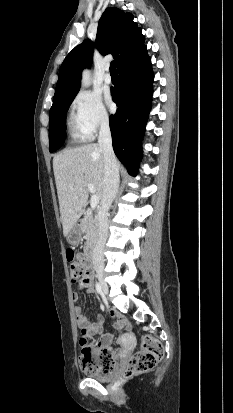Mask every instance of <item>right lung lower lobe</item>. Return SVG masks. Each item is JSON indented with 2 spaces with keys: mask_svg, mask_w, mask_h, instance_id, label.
Returning a JSON list of instances; mask_svg holds the SVG:
<instances>
[{
  "mask_svg": "<svg viewBox=\"0 0 233 413\" xmlns=\"http://www.w3.org/2000/svg\"><path fill=\"white\" fill-rule=\"evenodd\" d=\"M119 83L111 90L118 109L110 116L113 149L129 173L136 174L142 157L141 140L151 109L153 72L143 44L117 67Z\"/></svg>",
  "mask_w": 233,
  "mask_h": 413,
  "instance_id": "1",
  "label": "right lung lower lobe"
}]
</instances>
